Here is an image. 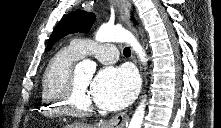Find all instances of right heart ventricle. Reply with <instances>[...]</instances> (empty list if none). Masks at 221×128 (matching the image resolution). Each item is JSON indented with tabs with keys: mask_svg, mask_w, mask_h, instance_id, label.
<instances>
[{
	"mask_svg": "<svg viewBox=\"0 0 221 128\" xmlns=\"http://www.w3.org/2000/svg\"><path fill=\"white\" fill-rule=\"evenodd\" d=\"M83 56L71 44L60 49L48 62L42 77L39 114L54 118L66 115L63 97L75 63Z\"/></svg>",
	"mask_w": 221,
	"mask_h": 128,
	"instance_id": "e07e8e85",
	"label": "right heart ventricle"
}]
</instances>
